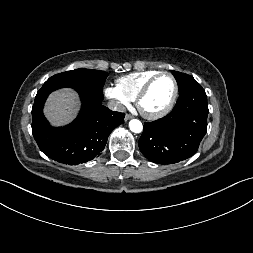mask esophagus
Returning a JSON list of instances; mask_svg holds the SVG:
<instances>
[{
    "label": "esophagus",
    "instance_id": "obj_1",
    "mask_svg": "<svg viewBox=\"0 0 253 253\" xmlns=\"http://www.w3.org/2000/svg\"><path fill=\"white\" fill-rule=\"evenodd\" d=\"M132 118H133L132 115L126 114L124 120H125V121H128V120H130V119H132Z\"/></svg>",
    "mask_w": 253,
    "mask_h": 253
}]
</instances>
